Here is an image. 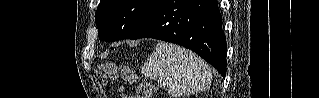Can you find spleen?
<instances>
[{
  "label": "spleen",
  "instance_id": "obj_1",
  "mask_svg": "<svg viewBox=\"0 0 319 98\" xmlns=\"http://www.w3.org/2000/svg\"><path fill=\"white\" fill-rule=\"evenodd\" d=\"M141 73L166 87L174 98L205 91L212 76L209 65L195 53L163 42L156 45Z\"/></svg>",
  "mask_w": 319,
  "mask_h": 98
}]
</instances>
